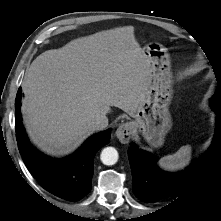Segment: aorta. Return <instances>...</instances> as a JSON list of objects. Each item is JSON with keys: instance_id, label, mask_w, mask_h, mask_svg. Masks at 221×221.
I'll list each match as a JSON object with an SVG mask.
<instances>
[{"instance_id": "obj_1", "label": "aorta", "mask_w": 221, "mask_h": 221, "mask_svg": "<svg viewBox=\"0 0 221 221\" xmlns=\"http://www.w3.org/2000/svg\"><path fill=\"white\" fill-rule=\"evenodd\" d=\"M100 159L105 165H114L118 161V152L114 147H106L102 150Z\"/></svg>"}]
</instances>
